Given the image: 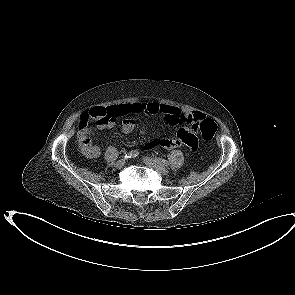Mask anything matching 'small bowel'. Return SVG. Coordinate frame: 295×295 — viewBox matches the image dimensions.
<instances>
[{
	"label": "small bowel",
	"mask_w": 295,
	"mask_h": 295,
	"mask_svg": "<svg viewBox=\"0 0 295 295\" xmlns=\"http://www.w3.org/2000/svg\"><path fill=\"white\" fill-rule=\"evenodd\" d=\"M104 108L108 110L109 117L107 120L98 123V128L101 130L110 129L115 125L114 119L118 116H123L125 119L122 122V131L125 134L131 133L135 128V120L131 117L133 114H144L148 117L160 116L168 126L197 123L204 118L202 112L181 110L177 107L160 103L158 101L124 103ZM156 145L166 149H174L183 145L195 149L197 146V138L193 131L187 128H182L177 131L174 137L160 138L147 144L144 149L149 150ZM81 150L88 158H96L100 155L99 148L91 144L82 147Z\"/></svg>",
	"instance_id": "c3829d8e"
}]
</instances>
